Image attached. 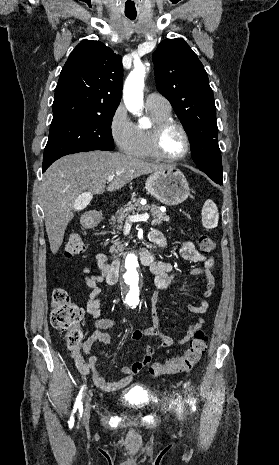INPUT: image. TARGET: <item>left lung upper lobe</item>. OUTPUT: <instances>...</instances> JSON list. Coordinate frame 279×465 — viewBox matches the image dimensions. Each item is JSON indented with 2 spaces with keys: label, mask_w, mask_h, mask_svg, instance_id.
Segmentation results:
<instances>
[{
  "label": "left lung upper lobe",
  "mask_w": 279,
  "mask_h": 465,
  "mask_svg": "<svg viewBox=\"0 0 279 465\" xmlns=\"http://www.w3.org/2000/svg\"><path fill=\"white\" fill-rule=\"evenodd\" d=\"M158 91L171 103L189 136L197 167L222 182L216 107L207 73L182 39H165L153 54Z\"/></svg>",
  "instance_id": "obj_1"
}]
</instances>
